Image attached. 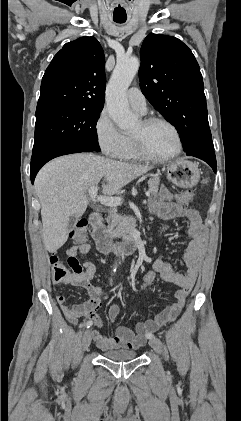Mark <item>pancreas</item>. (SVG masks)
<instances>
[{"mask_svg": "<svg viewBox=\"0 0 241 421\" xmlns=\"http://www.w3.org/2000/svg\"><path fill=\"white\" fill-rule=\"evenodd\" d=\"M149 192L151 194H156L159 187V178L154 177L148 181ZM108 222V232L113 237H120L127 234L132 224L134 223V218L131 216H121L116 213L114 210L107 219Z\"/></svg>", "mask_w": 241, "mask_h": 421, "instance_id": "pancreas-1", "label": "pancreas"}]
</instances>
